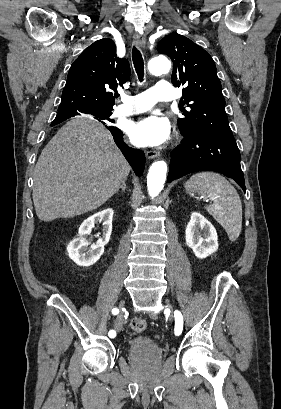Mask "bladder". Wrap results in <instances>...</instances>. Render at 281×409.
<instances>
[{"mask_svg": "<svg viewBox=\"0 0 281 409\" xmlns=\"http://www.w3.org/2000/svg\"><path fill=\"white\" fill-rule=\"evenodd\" d=\"M127 352L132 355H161V345L155 338L136 336L128 343Z\"/></svg>", "mask_w": 281, "mask_h": 409, "instance_id": "1", "label": "bladder"}]
</instances>
